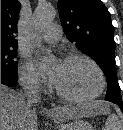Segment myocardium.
I'll return each instance as SVG.
<instances>
[{
  "label": "myocardium",
  "instance_id": "f54148a6",
  "mask_svg": "<svg viewBox=\"0 0 123 130\" xmlns=\"http://www.w3.org/2000/svg\"><path fill=\"white\" fill-rule=\"evenodd\" d=\"M72 60H83L87 63H89L97 72L98 77H99V86L97 88V90L89 95V96H84V97H74V96H70L67 95L65 93H63L53 82H52V89L55 92V94L62 100L67 101V102H71V103H84V102H89L92 101L96 98H98L104 91L105 87H106V78L104 75L103 70L101 69V67L98 65V63L93 60L92 58H90L87 55L84 54H80V53H71L68 54L67 56H65L64 61H72Z\"/></svg>",
  "mask_w": 123,
  "mask_h": 130
}]
</instances>
